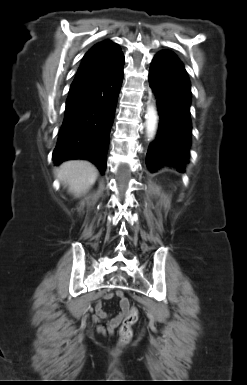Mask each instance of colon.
Returning a JSON list of instances; mask_svg holds the SVG:
<instances>
[{"mask_svg": "<svg viewBox=\"0 0 247 385\" xmlns=\"http://www.w3.org/2000/svg\"><path fill=\"white\" fill-rule=\"evenodd\" d=\"M126 315L119 327L120 342L127 344L132 338V327L137 322L139 317V310L136 306L125 307Z\"/></svg>", "mask_w": 247, "mask_h": 385, "instance_id": "colon-1", "label": "colon"}]
</instances>
